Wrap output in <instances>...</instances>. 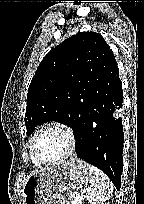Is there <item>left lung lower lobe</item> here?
<instances>
[{
  "instance_id": "obj_1",
  "label": "left lung lower lobe",
  "mask_w": 144,
  "mask_h": 204,
  "mask_svg": "<svg viewBox=\"0 0 144 204\" xmlns=\"http://www.w3.org/2000/svg\"><path fill=\"white\" fill-rule=\"evenodd\" d=\"M87 100L83 126L75 134L77 157L101 169L120 190L124 133L117 111L123 91L115 57L98 66Z\"/></svg>"
}]
</instances>
